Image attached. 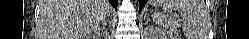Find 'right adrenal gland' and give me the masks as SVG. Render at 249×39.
<instances>
[{
  "instance_id": "1",
  "label": "right adrenal gland",
  "mask_w": 249,
  "mask_h": 39,
  "mask_svg": "<svg viewBox=\"0 0 249 39\" xmlns=\"http://www.w3.org/2000/svg\"><path fill=\"white\" fill-rule=\"evenodd\" d=\"M106 23H107L106 21H105V22H103V23H102V27H104V26L106 25Z\"/></svg>"
}]
</instances>
